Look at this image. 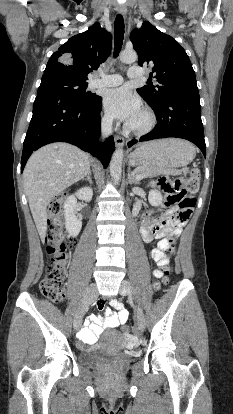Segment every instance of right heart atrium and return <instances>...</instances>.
Returning <instances> with one entry per match:
<instances>
[{
	"label": "right heart atrium",
	"instance_id": "d8ad5b80",
	"mask_svg": "<svg viewBox=\"0 0 233 414\" xmlns=\"http://www.w3.org/2000/svg\"><path fill=\"white\" fill-rule=\"evenodd\" d=\"M100 121L104 130H109L111 128V119L107 115H102Z\"/></svg>",
	"mask_w": 233,
	"mask_h": 414
}]
</instances>
